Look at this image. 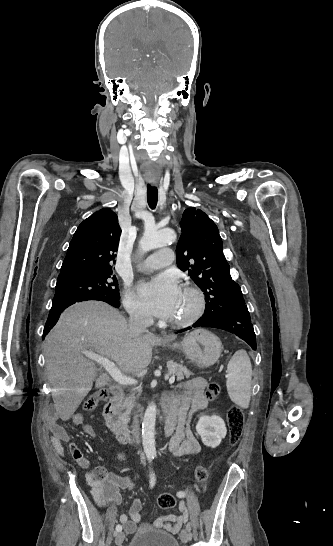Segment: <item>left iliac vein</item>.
Returning a JSON list of instances; mask_svg holds the SVG:
<instances>
[{"label": "left iliac vein", "instance_id": "obj_1", "mask_svg": "<svg viewBox=\"0 0 333 546\" xmlns=\"http://www.w3.org/2000/svg\"><path fill=\"white\" fill-rule=\"evenodd\" d=\"M180 538L184 543H187L191 539L190 528L188 526L181 531Z\"/></svg>", "mask_w": 333, "mask_h": 546}]
</instances>
